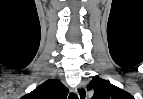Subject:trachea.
I'll list each match as a JSON object with an SVG mask.
<instances>
[{
    "mask_svg": "<svg viewBox=\"0 0 143 99\" xmlns=\"http://www.w3.org/2000/svg\"><path fill=\"white\" fill-rule=\"evenodd\" d=\"M69 99H78V96L75 93H71Z\"/></svg>",
    "mask_w": 143,
    "mask_h": 99,
    "instance_id": "obj_1",
    "label": "trachea"
}]
</instances>
